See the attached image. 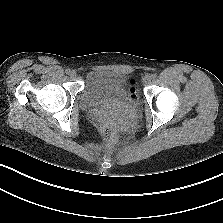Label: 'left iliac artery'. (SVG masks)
<instances>
[{
  "instance_id": "left-iliac-artery-1",
  "label": "left iliac artery",
  "mask_w": 223,
  "mask_h": 223,
  "mask_svg": "<svg viewBox=\"0 0 223 223\" xmlns=\"http://www.w3.org/2000/svg\"><path fill=\"white\" fill-rule=\"evenodd\" d=\"M151 77L154 79V78H156V77H157V74H156V73H154V74H152V75H151Z\"/></svg>"
}]
</instances>
